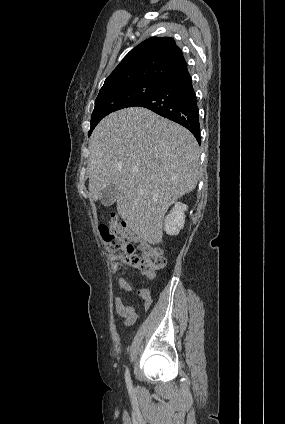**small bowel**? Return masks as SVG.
Segmentation results:
<instances>
[{"label":"small bowel","mask_w":285,"mask_h":424,"mask_svg":"<svg viewBox=\"0 0 285 424\" xmlns=\"http://www.w3.org/2000/svg\"><path fill=\"white\" fill-rule=\"evenodd\" d=\"M118 289L119 295L115 298V312L124 318V325L126 327H130L138 318L136 307L125 301V296L133 291V286L125 277H120L118 279ZM136 294L141 301L142 310L148 311L152 304V298L149 290L146 288H140L136 291Z\"/></svg>","instance_id":"1"}]
</instances>
